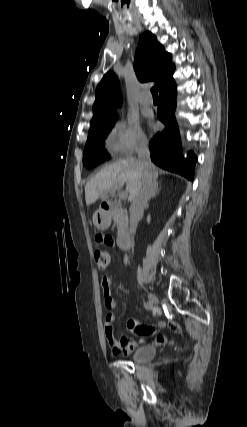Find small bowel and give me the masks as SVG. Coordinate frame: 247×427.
I'll return each mask as SVG.
<instances>
[{
    "label": "small bowel",
    "instance_id": "c3829d8e",
    "mask_svg": "<svg viewBox=\"0 0 247 427\" xmlns=\"http://www.w3.org/2000/svg\"><path fill=\"white\" fill-rule=\"evenodd\" d=\"M97 244L102 245L105 248L112 250L115 247L113 235L111 232H98L96 235ZM104 304L108 309V313L105 316V334L112 347V351L115 355L129 354L132 352L140 343L145 341L149 337H155L156 344H164L168 342V338L164 335H159L158 331L165 327L167 323L164 320L159 321L155 325H141L135 319L130 318L127 321V328L130 332L137 334L140 339L138 341H131L125 336L116 338L113 333L112 323L115 320L113 309L116 307V301L113 298L111 291V281L105 277L102 280ZM169 328L175 333H181V327L175 323L170 322Z\"/></svg>",
    "mask_w": 247,
    "mask_h": 427
}]
</instances>
